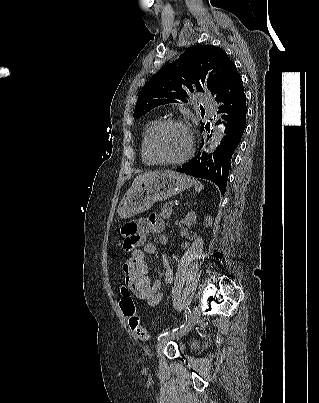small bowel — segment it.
<instances>
[{
    "label": "small bowel",
    "mask_w": 319,
    "mask_h": 403,
    "mask_svg": "<svg viewBox=\"0 0 319 403\" xmlns=\"http://www.w3.org/2000/svg\"><path fill=\"white\" fill-rule=\"evenodd\" d=\"M120 229L121 249L127 251L134 248L136 240V245H140L142 247V258H144L145 255H153L156 252V245L150 240L152 237L158 235V242L161 245L168 243L167 235L162 233L164 229V221L157 215H151L147 220H138L128 224H122ZM162 264L164 269L165 283L169 285L173 282V272L165 256L162 257ZM163 295L160 280L158 278H154L151 299L144 301H146L150 306H156L162 300ZM121 296H132L133 303H135L134 293H130L129 291L126 295H123V292L121 291Z\"/></svg>",
    "instance_id": "small-bowel-1"
}]
</instances>
